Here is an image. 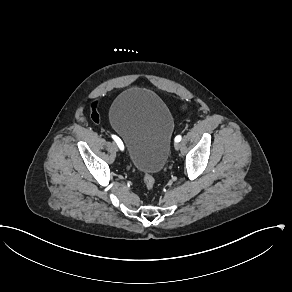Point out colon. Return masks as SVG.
<instances>
[{"label":"colon","instance_id":"1","mask_svg":"<svg viewBox=\"0 0 292 292\" xmlns=\"http://www.w3.org/2000/svg\"><path fill=\"white\" fill-rule=\"evenodd\" d=\"M91 119L94 122H97L98 114L92 113ZM143 182H144L145 189L148 192H151L153 190L154 186H155V178L149 172H145L143 174Z\"/></svg>","mask_w":292,"mask_h":292}]
</instances>
